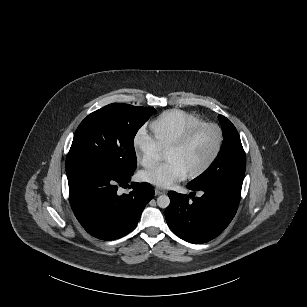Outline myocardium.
Listing matches in <instances>:
<instances>
[{
	"instance_id": "1",
	"label": "myocardium",
	"mask_w": 307,
	"mask_h": 307,
	"mask_svg": "<svg viewBox=\"0 0 307 307\" xmlns=\"http://www.w3.org/2000/svg\"><path fill=\"white\" fill-rule=\"evenodd\" d=\"M208 128H214L219 132L218 146L214 154L211 156V158L201 168L187 175L189 179H194V178L202 176L216 163L225 145L226 136H225L224 129L220 125L215 124V123L205 124V125L199 126L195 128L194 130L188 132L182 138L175 140L170 145H168V147L166 148L165 152L182 150L190 142H192L202 131Z\"/></svg>"
}]
</instances>
